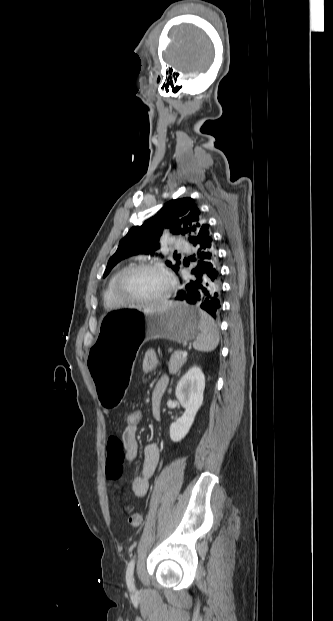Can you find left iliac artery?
<instances>
[{
    "instance_id": "44dca946",
    "label": "left iliac artery",
    "mask_w": 333,
    "mask_h": 621,
    "mask_svg": "<svg viewBox=\"0 0 333 621\" xmlns=\"http://www.w3.org/2000/svg\"><path fill=\"white\" fill-rule=\"evenodd\" d=\"M134 566H135V558H133L128 563L127 570H126V582L130 589L134 588V578H133Z\"/></svg>"
}]
</instances>
